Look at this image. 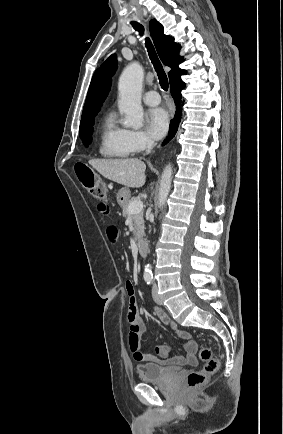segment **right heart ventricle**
I'll return each instance as SVG.
<instances>
[{"instance_id":"obj_1","label":"right heart ventricle","mask_w":283,"mask_h":434,"mask_svg":"<svg viewBox=\"0 0 283 434\" xmlns=\"http://www.w3.org/2000/svg\"><path fill=\"white\" fill-rule=\"evenodd\" d=\"M126 129L121 127L116 116L110 113L104 120L99 152L105 157L125 158L131 154L126 140Z\"/></svg>"}]
</instances>
